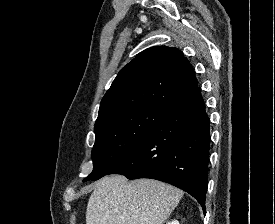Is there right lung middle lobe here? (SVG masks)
I'll use <instances>...</instances> for the list:
<instances>
[{"mask_svg":"<svg viewBox=\"0 0 275 224\" xmlns=\"http://www.w3.org/2000/svg\"><path fill=\"white\" fill-rule=\"evenodd\" d=\"M165 111L159 107H143L95 126L94 168L83 181L108 175L146 138Z\"/></svg>","mask_w":275,"mask_h":224,"instance_id":"dd1d6c3e","label":"right lung middle lobe"}]
</instances>
